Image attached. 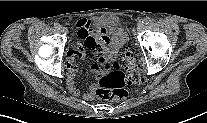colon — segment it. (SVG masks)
<instances>
[{
    "label": "colon",
    "mask_w": 207,
    "mask_h": 123,
    "mask_svg": "<svg viewBox=\"0 0 207 123\" xmlns=\"http://www.w3.org/2000/svg\"><path fill=\"white\" fill-rule=\"evenodd\" d=\"M104 74L96 85V96L101 100L118 101L126 98L131 86L143 81L138 63L129 50L117 61L106 60L102 64Z\"/></svg>",
    "instance_id": "colon-1"
}]
</instances>
